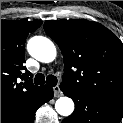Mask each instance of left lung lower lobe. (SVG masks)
Segmentation results:
<instances>
[{
	"label": "left lung lower lobe",
	"instance_id": "0a47b994",
	"mask_svg": "<svg viewBox=\"0 0 123 123\" xmlns=\"http://www.w3.org/2000/svg\"><path fill=\"white\" fill-rule=\"evenodd\" d=\"M63 93L75 103L74 112L62 123H120L123 105L95 98L60 84Z\"/></svg>",
	"mask_w": 123,
	"mask_h": 123
}]
</instances>
